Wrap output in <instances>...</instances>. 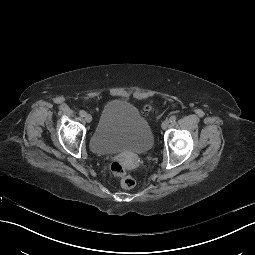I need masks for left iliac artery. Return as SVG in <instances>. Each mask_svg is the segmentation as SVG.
I'll return each instance as SVG.
<instances>
[{
  "label": "left iliac artery",
  "instance_id": "left-iliac-artery-1",
  "mask_svg": "<svg viewBox=\"0 0 255 255\" xmlns=\"http://www.w3.org/2000/svg\"><path fill=\"white\" fill-rule=\"evenodd\" d=\"M169 121H170L171 123L175 122V121H176V116H175V115L171 116V117L169 118Z\"/></svg>",
  "mask_w": 255,
  "mask_h": 255
}]
</instances>
